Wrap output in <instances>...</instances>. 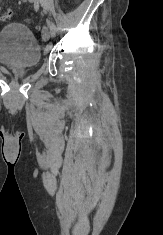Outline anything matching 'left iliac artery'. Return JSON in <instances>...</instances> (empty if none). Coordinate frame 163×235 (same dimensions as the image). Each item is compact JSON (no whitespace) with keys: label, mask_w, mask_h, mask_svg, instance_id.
<instances>
[{"label":"left iliac artery","mask_w":163,"mask_h":235,"mask_svg":"<svg viewBox=\"0 0 163 235\" xmlns=\"http://www.w3.org/2000/svg\"><path fill=\"white\" fill-rule=\"evenodd\" d=\"M41 3L42 7L45 9V11L47 12L48 11V5H47V2L46 0H37ZM48 26L50 27V29L52 30H55L56 29V26L54 24V22L52 20H49L48 21Z\"/></svg>","instance_id":"left-iliac-artery-1"}]
</instances>
